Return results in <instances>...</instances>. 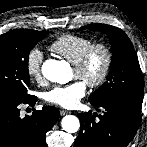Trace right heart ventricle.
<instances>
[{
    "mask_svg": "<svg viewBox=\"0 0 147 147\" xmlns=\"http://www.w3.org/2000/svg\"><path fill=\"white\" fill-rule=\"evenodd\" d=\"M92 43V39L86 36L65 34L55 39L49 48L52 52L74 64Z\"/></svg>",
    "mask_w": 147,
    "mask_h": 147,
    "instance_id": "right-heart-ventricle-1",
    "label": "right heart ventricle"
}]
</instances>
